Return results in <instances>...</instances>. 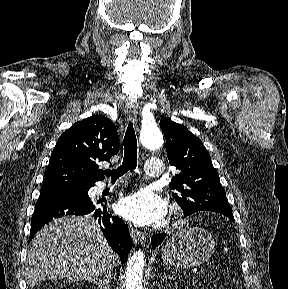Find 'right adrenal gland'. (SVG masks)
<instances>
[{
	"label": "right adrenal gland",
	"mask_w": 288,
	"mask_h": 289,
	"mask_svg": "<svg viewBox=\"0 0 288 289\" xmlns=\"http://www.w3.org/2000/svg\"><path fill=\"white\" fill-rule=\"evenodd\" d=\"M91 282L96 284L98 289H109V285L105 284V282L102 280L93 279V280H91Z\"/></svg>",
	"instance_id": "obj_1"
}]
</instances>
